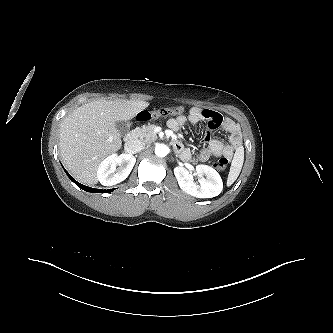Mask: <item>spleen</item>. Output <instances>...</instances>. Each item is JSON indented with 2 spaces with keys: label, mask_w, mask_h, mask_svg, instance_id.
Here are the masks:
<instances>
[{
  "label": "spleen",
  "mask_w": 333,
  "mask_h": 333,
  "mask_svg": "<svg viewBox=\"0 0 333 333\" xmlns=\"http://www.w3.org/2000/svg\"><path fill=\"white\" fill-rule=\"evenodd\" d=\"M244 162L243 149H237L231 163L230 171L228 174L227 185H232L239 176Z\"/></svg>",
  "instance_id": "1"
}]
</instances>
